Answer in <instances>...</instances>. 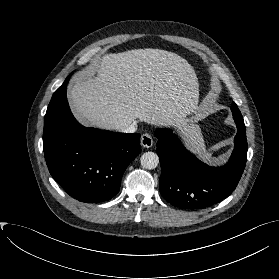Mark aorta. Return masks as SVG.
<instances>
[{"mask_svg":"<svg viewBox=\"0 0 279 279\" xmlns=\"http://www.w3.org/2000/svg\"><path fill=\"white\" fill-rule=\"evenodd\" d=\"M141 166L145 169H154L159 164V157L154 152H145L140 158Z\"/></svg>","mask_w":279,"mask_h":279,"instance_id":"obj_1","label":"aorta"}]
</instances>
